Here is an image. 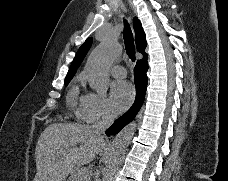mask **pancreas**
I'll use <instances>...</instances> for the list:
<instances>
[{
	"label": "pancreas",
	"instance_id": "pancreas-1",
	"mask_svg": "<svg viewBox=\"0 0 228 181\" xmlns=\"http://www.w3.org/2000/svg\"><path fill=\"white\" fill-rule=\"evenodd\" d=\"M80 173H81V169H79V167H77V169H73V171H71L70 173L71 177H69V181H89L86 175H80ZM80 177H86V179H80Z\"/></svg>",
	"mask_w": 228,
	"mask_h": 181
}]
</instances>
